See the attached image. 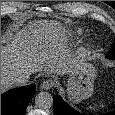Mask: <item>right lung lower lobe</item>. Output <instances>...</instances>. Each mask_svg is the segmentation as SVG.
<instances>
[{
  "label": "right lung lower lobe",
  "mask_w": 115,
  "mask_h": 115,
  "mask_svg": "<svg viewBox=\"0 0 115 115\" xmlns=\"http://www.w3.org/2000/svg\"><path fill=\"white\" fill-rule=\"evenodd\" d=\"M35 94V86L11 89L1 95V115H24L26 107Z\"/></svg>",
  "instance_id": "1"
}]
</instances>
